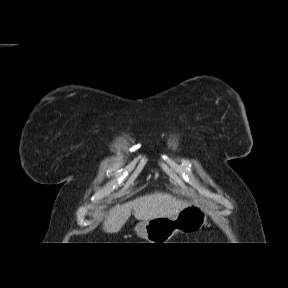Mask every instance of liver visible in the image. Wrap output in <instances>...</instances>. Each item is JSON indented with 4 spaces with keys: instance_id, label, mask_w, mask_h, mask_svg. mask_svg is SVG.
<instances>
[{
    "instance_id": "1",
    "label": "liver",
    "mask_w": 288,
    "mask_h": 288,
    "mask_svg": "<svg viewBox=\"0 0 288 288\" xmlns=\"http://www.w3.org/2000/svg\"><path fill=\"white\" fill-rule=\"evenodd\" d=\"M188 205L187 201L156 191L113 207L103 222V230L107 233L120 231L132 212L137 220L148 221L156 217L174 216Z\"/></svg>"
}]
</instances>
